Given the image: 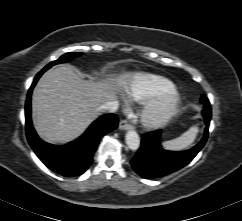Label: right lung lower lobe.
I'll return each mask as SVG.
<instances>
[{
  "label": "right lung lower lobe",
  "mask_w": 242,
  "mask_h": 221,
  "mask_svg": "<svg viewBox=\"0 0 242 221\" xmlns=\"http://www.w3.org/2000/svg\"><path fill=\"white\" fill-rule=\"evenodd\" d=\"M43 72L45 71L37 74L27 94L25 105L27 139L36 155L49 169L65 177L79 176L92 163L100 138L117 128L118 117L115 114L99 117L81 137L67 145L54 146L44 142L36 134L31 121V93Z\"/></svg>",
  "instance_id": "right-lung-lower-lobe-1"
}]
</instances>
